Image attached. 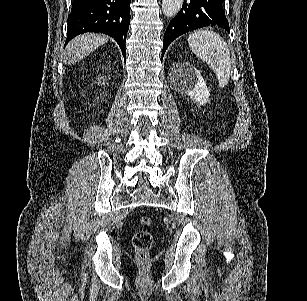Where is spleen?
I'll use <instances>...</instances> for the list:
<instances>
[{
	"instance_id": "obj_1",
	"label": "spleen",
	"mask_w": 307,
	"mask_h": 301,
	"mask_svg": "<svg viewBox=\"0 0 307 301\" xmlns=\"http://www.w3.org/2000/svg\"><path fill=\"white\" fill-rule=\"evenodd\" d=\"M188 44L192 52L214 70L219 86L225 88L231 74V58L224 38L213 30H195L189 34Z\"/></svg>"
}]
</instances>
